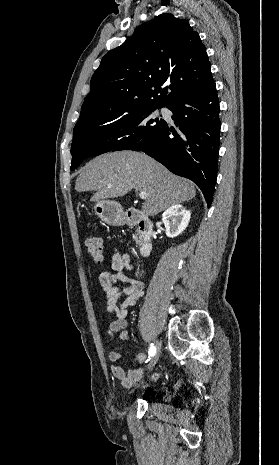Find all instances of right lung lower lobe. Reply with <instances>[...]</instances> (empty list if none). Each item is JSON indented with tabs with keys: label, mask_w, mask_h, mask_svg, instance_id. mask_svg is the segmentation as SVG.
I'll list each match as a JSON object with an SVG mask.
<instances>
[{
	"label": "right lung lower lobe",
	"mask_w": 279,
	"mask_h": 465,
	"mask_svg": "<svg viewBox=\"0 0 279 465\" xmlns=\"http://www.w3.org/2000/svg\"><path fill=\"white\" fill-rule=\"evenodd\" d=\"M180 132L166 123L161 133L140 150L176 175L189 178L201 189L210 207L218 172L219 101L212 77L201 86L179 96L166 106Z\"/></svg>",
	"instance_id": "1"
}]
</instances>
